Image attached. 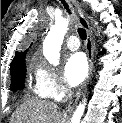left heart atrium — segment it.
I'll return each instance as SVG.
<instances>
[{
  "label": "left heart atrium",
  "instance_id": "left-heart-atrium-1",
  "mask_svg": "<svg viewBox=\"0 0 122 123\" xmlns=\"http://www.w3.org/2000/svg\"><path fill=\"white\" fill-rule=\"evenodd\" d=\"M88 74V63L83 53L69 55L64 64V78L71 87L80 85Z\"/></svg>",
  "mask_w": 122,
  "mask_h": 123
}]
</instances>
